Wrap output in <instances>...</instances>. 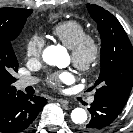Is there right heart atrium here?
<instances>
[{
  "mask_svg": "<svg viewBox=\"0 0 133 133\" xmlns=\"http://www.w3.org/2000/svg\"><path fill=\"white\" fill-rule=\"evenodd\" d=\"M44 38L39 34L29 36L25 43V55L28 59L38 61L41 59L44 48Z\"/></svg>",
  "mask_w": 133,
  "mask_h": 133,
  "instance_id": "obj_1",
  "label": "right heart atrium"
}]
</instances>
